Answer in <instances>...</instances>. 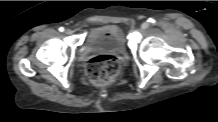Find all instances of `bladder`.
I'll return each instance as SVG.
<instances>
[{
  "label": "bladder",
  "mask_w": 218,
  "mask_h": 122,
  "mask_svg": "<svg viewBox=\"0 0 218 122\" xmlns=\"http://www.w3.org/2000/svg\"><path fill=\"white\" fill-rule=\"evenodd\" d=\"M91 50L124 53L126 50L123 32L116 26L104 25L92 29L85 40Z\"/></svg>",
  "instance_id": "1"
}]
</instances>
